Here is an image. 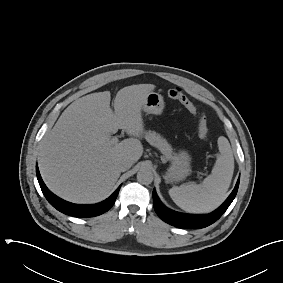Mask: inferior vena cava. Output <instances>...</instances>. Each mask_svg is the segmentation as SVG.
Masks as SVG:
<instances>
[{
    "instance_id": "1",
    "label": "inferior vena cava",
    "mask_w": 283,
    "mask_h": 283,
    "mask_svg": "<svg viewBox=\"0 0 283 283\" xmlns=\"http://www.w3.org/2000/svg\"><path fill=\"white\" fill-rule=\"evenodd\" d=\"M131 166H132V162L126 159L120 160L117 163V167L121 172L128 170Z\"/></svg>"
}]
</instances>
